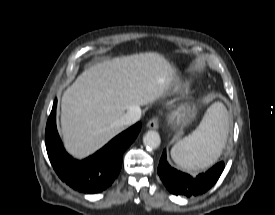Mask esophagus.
<instances>
[{"label":"esophagus","mask_w":275,"mask_h":215,"mask_svg":"<svg viewBox=\"0 0 275 215\" xmlns=\"http://www.w3.org/2000/svg\"><path fill=\"white\" fill-rule=\"evenodd\" d=\"M159 127V121L158 118L153 117L150 119L147 123V128L156 130Z\"/></svg>","instance_id":"1"}]
</instances>
